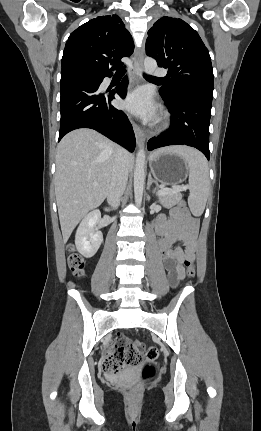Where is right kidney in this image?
I'll return each mask as SVG.
<instances>
[{
  "label": "right kidney",
  "instance_id": "1",
  "mask_svg": "<svg viewBox=\"0 0 261 431\" xmlns=\"http://www.w3.org/2000/svg\"><path fill=\"white\" fill-rule=\"evenodd\" d=\"M100 219V211L93 210L84 217L76 231V248L86 258L94 256L103 241V234L96 229Z\"/></svg>",
  "mask_w": 261,
  "mask_h": 431
}]
</instances>
